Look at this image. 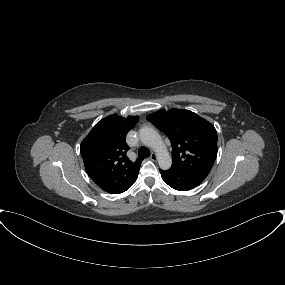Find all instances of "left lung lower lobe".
I'll return each instance as SVG.
<instances>
[{"label": "left lung lower lobe", "instance_id": "left-lung-lower-lobe-1", "mask_svg": "<svg viewBox=\"0 0 285 285\" xmlns=\"http://www.w3.org/2000/svg\"><path fill=\"white\" fill-rule=\"evenodd\" d=\"M160 173L166 184L179 191H187L195 188L209 174L206 171H180L173 168L167 171L160 170Z\"/></svg>", "mask_w": 285, "mask_h": 285}]
</instances>
